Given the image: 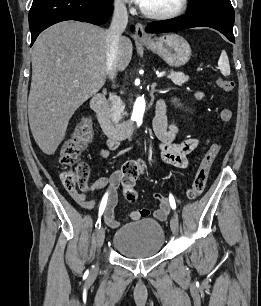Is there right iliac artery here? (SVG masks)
I'll list each match as a JSON object with an SVG mask.
<instances>
[{
    "mask_svg": "<svg viewBox=\"0 0 261 306\" xmlns=\"http://www.w3.org/2000/svg\"><path fill=\"white\" fill-rule=\"evenodd\" d=\"M106 202H107V195H104V197L101 201V204H100V208H99V217H98L96 225H95V227L97 229L101 227V215H102L103 210L105 208Z\"/></svg>",
    "mask_w": 261,
    "mask_h": 306,
    "instance_id": "obj_1",
    "label": "right iliac artery"
}]
</instances>
